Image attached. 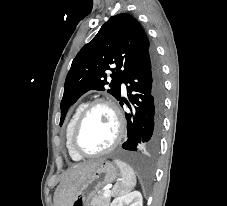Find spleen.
Wrapping results in <instances>:
<instances>
[{
  "mask_svg": "<svg viewBox=\"0 0 227 206\" xmlns=\"http://www.w3.org/2000/svg\"><path fill=\"white\" fill-rule=\"evenodd\" d=\"M121 171V180L113 188L114 195H123L136 185V177L133 169L120 160H114Z\"/></svg>",
  "mask_w": 227,
  "mask_h": 206,
  "instance_id": "1",
  "label": "spleen"
}]
</instances>
